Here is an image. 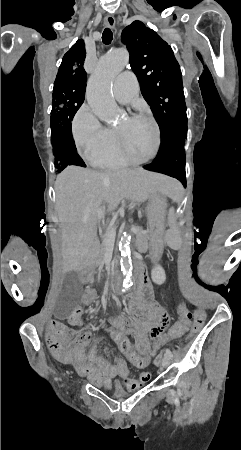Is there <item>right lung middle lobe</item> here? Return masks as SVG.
I'll return each instance as SVG.
<instances>
[{"label":"right lung middle lobe","instance_id":"right-lung-middle-lobe-1","mask_svg":"<svg viewBox=\"0 0 241 450\" xmlns=\"http://www.w3.org/2000/svg\"><path fill=\"white\" fill-rule=\"evenodd\" d=\"M52 96L51 138L54 141V166L60 173L69 165L65 149L73 144L71 121L84 102L85 87L54 83Z\"/></svg>","mask_w":241,"mask_h":450}]
</instances>
